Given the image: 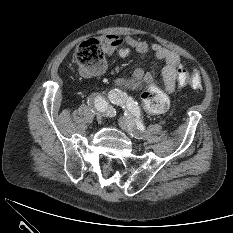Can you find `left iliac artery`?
I'll use <instances>...</instances> for the list:
<instances>
[{
    "mask_svg": "<svg viewBox=\"0 0 233 233\" xmlns=\"http://www.w3.org/2000/svg\"><path fill=\"white\" fill-rule=\"evenodd\" d=\"M108 98L113 104L120 105L123 108H127L128 111L133 115L132 121L135 124V126L140 131H144V125L140 120V110L137 105V102H135L132 98L128 97L126 93L118 89L110 91Z\"/></svg>",
    "mask_w": 233,
    "mask_h": 233,
    "instance_id": "left-iliac-artery-1",
    "label": "left iliac artery"
}]
</instances>
